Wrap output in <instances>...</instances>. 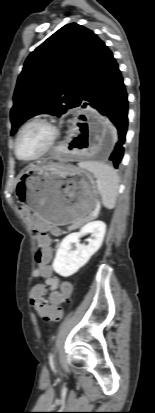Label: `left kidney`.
<instances>
[{"mask_svg": "<svg viewBox=\"0 0 155 413\" xmlns=\"http://www.w3.org/2000/svg\"><path fill=\"white\" fill-rule=\"evenodd\" d=\"M105 232V223L97 220L87 223L79 232L67 235L60 243L53 261L55 272L63 277L75 274L101 247ZM88 233L92 234L93 239L88 245H81L79 239ZM73 244L75 250H72Z\"/></svg>", "mask_w": 155, "mask_h": 413, "instance_id": "obj_1", "label": "left kidney"}]
</instances>
